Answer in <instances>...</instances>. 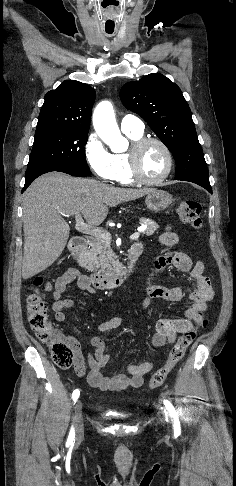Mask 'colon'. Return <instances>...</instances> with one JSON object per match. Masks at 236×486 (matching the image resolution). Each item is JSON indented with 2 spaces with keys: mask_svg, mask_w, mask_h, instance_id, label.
I'll use <instances>...</instances> for the list:
<instances>
[{
  "mask_svg": "<svg viewBox=\"0 0 236 486\" xmlns=\"http://www.w3.org/2000/svg\"><path fill=\"white\" fill-rule=\"evenodd\" d=\"M201 205L194 200H182L177 208L178 218L185 225L199 229L202 225ZM34 290L27 297V321L39 340L46 342L54 363L60 368H69L74 363V352L61 331L52 328L47 306L43 300L42 288L48 289L43 276L33 281ZM197 327L207 324V319L200 313L196 319ZM196 336V330L184 332L171 348L165 364L154 372L149 382V389L160 387L169 373L180 362Z\"/></svg>",
  "mask_w": 236,
  "mask_h": 486,
  "instance_id": "5ec220e1",
  "label": "colon"
}]
</instances>
